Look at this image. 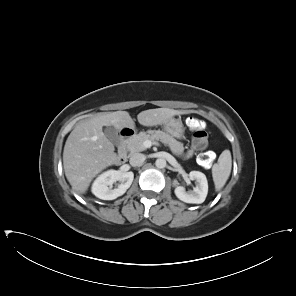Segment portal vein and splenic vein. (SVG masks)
<instances>
[{"mask_svg":"<svg viewBox=\"0 0 296 296\" xmlns=\"http://www.w3.org/2000/svg\"><path fill=\"white\" fill-rule=\"evenodd\" d=\"M157 143L154 141L146 140L143 142L142 146L144 148H150L152 145H156Z\"/></svg>","mask_w":296,"mask_h":296,"instance_id":"obj_1","label":"portal vein and splenic vein"}]
</instances>
